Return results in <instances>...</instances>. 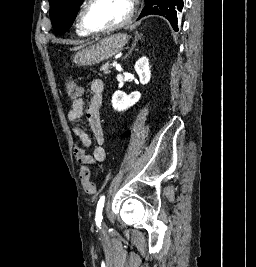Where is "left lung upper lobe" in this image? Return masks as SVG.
Instances as JSON below:
<instances>
[{
  "label": "left lung upper lobe",
  "mask_w": 256,
  "mask_h": 267,
  "mask_svg": "<svg viewBox=\"0 0 256 267\" xmlns=\"http://www.w3.org/2000/svg\"><path fill=\"white\" fill-rule=\"evenodd\" d=\"M84 0H49L50 18L57 34L65 33L76 18L80 5ZM160 15L173 22V0H146L139 18L147 15Z\"/></svg>",
  "instance_id": "left-lung-upper-lobe-1"
}]
</instances>
